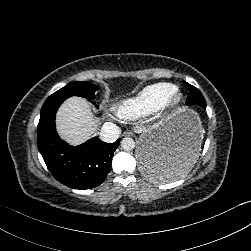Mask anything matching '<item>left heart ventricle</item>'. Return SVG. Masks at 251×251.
<instances>
[{
    "mask_svg": "<svg viewBox=\"0 0 251 251\" xmlns=\"http://www.w3.org/2000/svg\"><path fill=\"white\" fill-rule=\"evenodd\" d=\"M169 92H173V88H171ZM177 101H178V96H175L173 99V103H176Z\"/></svg>",
    "mask_w": 251,
    "mask_h": 251,
    "instance_id": "obj_1",
    "label": "left heart ventricle"
}]
</instances>
